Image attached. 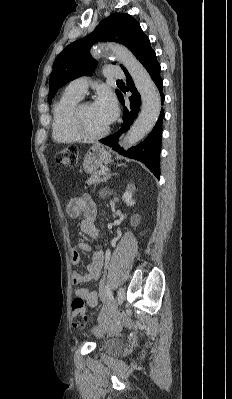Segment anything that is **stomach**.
<instances>
[{"label": "stomach", "mask_w": 232, "mask_h": 399, "mask_svg": "<svg viewBox=\"0 0 232 399\" xmlns=\"http://www.w3.org/2000/svg\"><path fill=\"white\" fill-rule=\"evenodd\" d=\"M111 162V154L107 152L106 148L96 142L90 150H88L87 154H85V158L83 160V168L87 174H92V172H96L100 166L103 164H110Z\"/></svg>", "instance_id": "0dacf381"}]
</instances>
